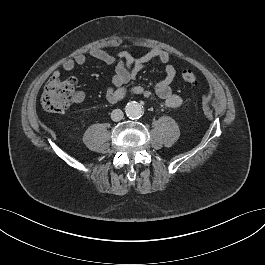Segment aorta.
Listing matches in <instances>:
<instances>
[{"label": "aorta", "mask_w": 265, "mask_h": 265, "mask_svg": "<svg viewBox=\"0 0 265 265\" xmlns=\"http://www.w3.org/2000/svg\"><path fill=\"white\" fill-rule=\"evenodd\" d=\"M125 112L129 118H138L143 114V107L138 102L131 101L125 106Z\"/></svg>", "instance_id": "obj_1"}]
</instances>
